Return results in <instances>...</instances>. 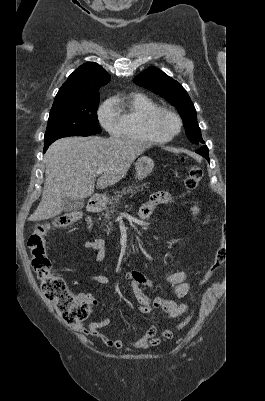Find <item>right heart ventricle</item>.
<instances>
[{"mask_svg":"<svg viewBox=\"0 0 265 401\" xmlns=\"http://www.w3.org/2000/svg\"><path fill=\"white\" fill-rule=\"evenodd\" d=\"M111 102L117 116L114 137L154 142L146 127L148 114L159 107L153 99L132 91L116 94Z\"/></svg>","mask_w":265,"mask_h":401,"instance_id":"obj_1","label":"right heart ventricle"}]
</instances>
